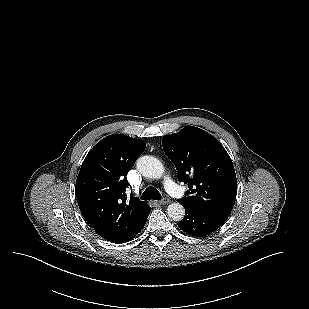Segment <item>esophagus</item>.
<instances>
[{"mask_svg":"<svg viewBox=\"0 0 309 309\" xmlns=\"http://www.w3.org/2000/svg\"><path fill=\"white\" fill-rule=\"evenodd\" d=\"M170 202H171V200H170L169 198L164 197L163 199H161V200L159 201V204L165 205V204H168V203H170Z\"/></svg>","mask_w":309,"mask_h":309,"instance_id":"1","label":"esophagus"}]
</instances>
